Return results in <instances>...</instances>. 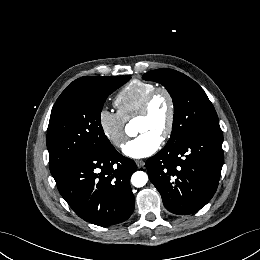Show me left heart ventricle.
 I'll list each match as a JSON object with an SVG mask.
<instances>
[{
    "mask_svg": "<svg viewBox=\"0 0 260 260\" xmlns=\"http://www.w3.org/2000/svg\"><path fill=\"white\" fill-rule=\"evenodd\" d=\"M169 115V102L165 95L159 94L152 102L149 114L137 117L136 126L138 133L151 132L161 138L167 125Z\"/></svg>",
    "mask_w": 260,
    "mask_h": 260,
    "instance_id": "1",
    "label": "left heart ventricle"
}]
</instances>
